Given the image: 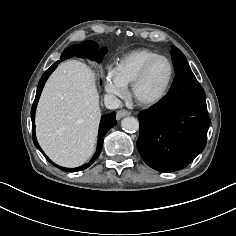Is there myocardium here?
<instances>
[{"label":"myocardium","mask_w":236,"mask_h":236,"mask_svg":"<svg viewBox=\"0 0 236 236\" xmlns=\"http://www.w3.org/2000/svg\"><path fill=\"white\" fill-rule=\"evenodd\" d=\"M159 60H166L170 66V76L168 82L160 95L155 98H143L139 95V87L143 80L145 79L150 68ZM175 78V67L172 60L164 55H158L144 64L139 73L134 78L131 83V92L135 101L142 106H154L161 103L169 94Z\"/></svg>","instance_id":"1"}]
</instances>
